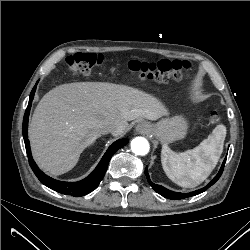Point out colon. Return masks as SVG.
<instances>
[{"mask_svg": "<svg viewBox=\"0 0 250 250\" xmlns=\"http://www.w3.org/2000/svg\"><path fill=\"white\" fill-rule=\"evenodd\" d=\"M105 61L102 55L95 53H77L70 56L67 65L70 73L74 76L91 75ZM128 70L143 80L166 83L169 81H180L189 75L191 64L187 61L160 60L158 62H140L131 60L127 63ZM210 123L216 124L219 121L217 114H212Z\"/></svg>", "mask_w": 250, "mask_h": 250, "instance_id": "5ec220e1", "label": "colon"}]
</instances>
